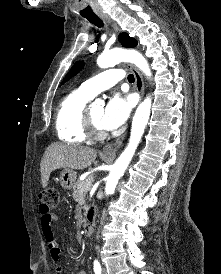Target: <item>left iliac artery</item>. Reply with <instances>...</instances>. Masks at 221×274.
Masks as SVG:
<instances>
[{
    "label": "left iliac artery",
    "mask_w": 221,
    "mask_h": 274,
    "mask_svg": "<svg viewBox=\"0 0 221 274\" xmlns=\"http://www.w3.org/2000/svg\"><path fill=\"white\" fill-rule=\"evenodd\" d=\"M94 272L95 274H101V266L98 260L94 261Z\"/></svg>",
    "instance_id": "left-iliac-artery-1"
}]
</instances>
